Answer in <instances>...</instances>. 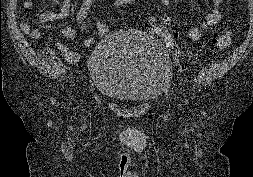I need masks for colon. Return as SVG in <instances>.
Here are the masks:
<instances>
[{
  "label": "colon",
  "instance_id": "colon-1",
  "mask_svg": "<svg viewBox=\"0 0 253 177\" xmlns=\"http://www.w3.org/2000/svg\"><path fill=\"white\" fill-rule=\"evenodd\" d=\"M133 3L134 0H112L108 10L109 23L124 13ZM107 25L109 26V24ZM146 26L151 33L158 36L166 44L175 60L179 63L180 68L187 69L189 64L181 60L182 53L178 45L177 33L171 28L169 20L150 16ZM233 39L234 32L231 30L215 34L212 39L214 45L213 50H224L228 48L232 44Z\"/></svg>",
  "mask_w": 253,
  "mask_h": 177
}]
</instances>
